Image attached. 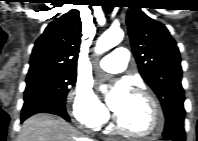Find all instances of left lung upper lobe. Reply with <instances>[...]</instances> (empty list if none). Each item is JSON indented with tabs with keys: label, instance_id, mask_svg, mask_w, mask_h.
<instances>
[{
	"label": "left lung upper lobe",
	"instance_id": "obj_1",
	"mask_svg": "<svg viewBox=\"0 0 198 141\" xmlns=\"http://www.w3.org/2000/svg\"><path fill=\"white\" fill-rule=\"evenodd\" d=\"M129 8L126 22L139 71L158 96L167 118L176 110H184L177 44L162 23L148 17L138 6Z\"/></svg>",
	"mask_w": 198,
	"mask_h": 141
}]
</instances>
